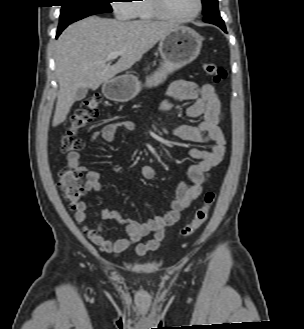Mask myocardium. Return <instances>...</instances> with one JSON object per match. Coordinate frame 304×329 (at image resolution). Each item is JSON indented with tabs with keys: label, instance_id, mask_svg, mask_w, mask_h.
I'll return each instance as SVG.
<instances>
[{
	"label": "myocardium",
	"instance_id": "obj_1",
	"mask_svg": "<svg viewBox=\"0 0 304 329\" xmlns=\"http://www.w3.org/2000/svg\"><path fill=\"white\" fill-rule=\"evenodd\" d=\"M151 4L160 18L175 22H187L193 20L199 16L203 9V1L197 0V9L193 14L188 16H177L168 10L165 0H151Z\"/></svg>",
	"mask_w": 304,
	"mask_h": 329
}]
</instances>
